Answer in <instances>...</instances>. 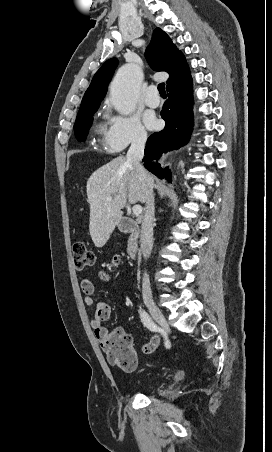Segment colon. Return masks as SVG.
Wrapping results in <instances>:
<instances>
[{
  "label": "colon",
  "instance_id": "5ec220e1",
  "mask_svg": "<svg viewBox=\"0 0 272 452\" xmlns=\"http://www.w3.org/2000/svg\"><path fill=\"white\" fill-rule=\"evenodd\" d=\"M74 267L81 270L94 263L93 252L84 242H76L72 248ZM119 266V258H114L112 267ZM107 359L122 370L132 371L137 365V358L131 345V340L127 336L111 338L107 342Z\"/></svg>",
  "mask_w": 272,
  "mask_h": 452
}]
</instances>
